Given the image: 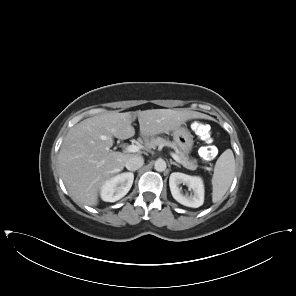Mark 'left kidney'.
<instances>
[{"label":"left kidney","instance_id":"5707ae66","mask_svg":"<svg viewBox=\"0 0 296 296\" xmlns=\"http://www.w3.org/2000/svg\"><path fill=\"white\" fill-rule=\"evenodd\" d=\"M180 184L186 185L193 190V195L186 196L181 193ZM170 191L173 198L180 204L198 208L204 203V185L203 180L197 176H190L180 172H174L169 178Z\"/></svg>","mask_w":296,"mask_h":296}]
</instances>
